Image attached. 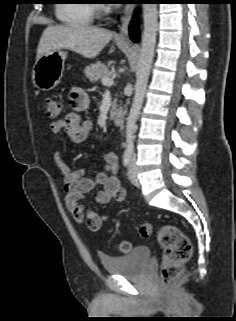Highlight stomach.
I'll list each match as a JSON object with an SVG mask.
<instances>
[{
  "mask_svg": "<svg viewBox=\"0 0 236 321\" xmlns=\"http://www.w3.org/2000/svg\"><path fill=\"white\" fill-rule=\"evenodd\" d=\"M67 52L63 49L49 51L34 64L32 78L35 86L42 91H50L56 87L64 71Z\"/></svg>",
  "mask_w": 236,
  "mask_h": 321,
  "instance_id": "obj_1",
  "label": "stomach"
}]
</instances>
